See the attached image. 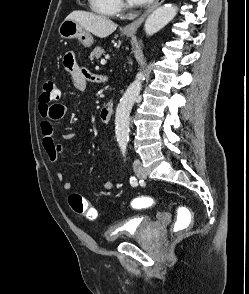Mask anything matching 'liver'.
Wrapping results in <instances>:
<instances>
[{
  "label": "liver",
  "mask_w": 249,
  "mask_h": 294,
  "mask_svg": "<svg viewBox=\"0 0 249 294\" xmlns=\"http://www.w3.org/2000/svg\"><path fill=\"white\" fill-rule=\"evenodd\" d=\"M66 19L74 20L87 32L99 38L108 37L117 29V24L107 17L86 11H73Z\"/></svg>",
  "instance_id": "6515ba94"
}]
</instances>
